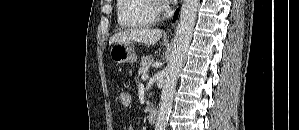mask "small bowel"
Returning <instances> with one entry per match:
<instances>
[{"label": "small bowel", "instance_id": "obj_1", "mask_svg": "<svg viewBox=\"0 0 299 130\" xmlns=\"http://www.w3.org/2000/svg\"><path fill=\"white\" fill-rule=\"evenodd\" d=\"M127 130H133L132 126H129V127L127 128Z\"/></svg>", "mask_w": 299, "mask_h": 130}]
</instances>
